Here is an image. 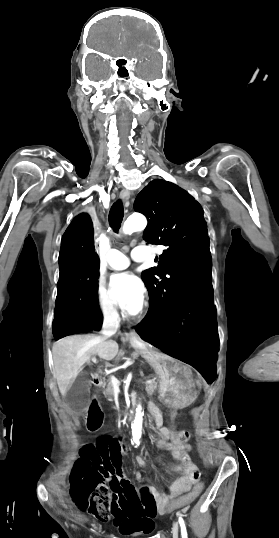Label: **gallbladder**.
<instances>
[{"label":"gallbladder","mask_w":279,"mask_h":538,"mask_svg":"<svg viewBox=\"0 0 279 538\" xmlns=\"http://www.w3.org/2000/svg\"><path fill=\"white\" fill-rule=\"evenodd\" d=\"M89 374L87 372H80L71 388L66 392L67 399L65 403L69 405L71 410H76L77 416L83 415L82 405H88L90 402V397L87 394L89 390Z\"/></svg>","instance_id":"obj_1"}]
</instances>
